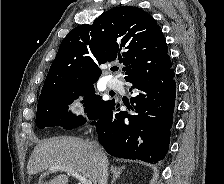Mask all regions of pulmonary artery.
<instances>
[{
    "instance_id": "e3ab8cb5",
    "label": "pulmonary artery",
    "mask_w": 224,
    "mask_h": 184,
    "mask_svg": "<svg viewBox=\"0 0 224 184\" xmlns=\"http://www.w3.org/2000/svg\"><path fill=\"white\" fill-rule=\"evenodd\" d=\"M108 87L113 90H121L122 89V83L117 78H111L108 81Z\"/></svg>"
}]
</instances>
